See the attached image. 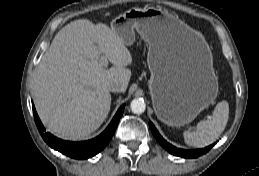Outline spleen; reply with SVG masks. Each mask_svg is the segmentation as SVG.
Segmentation results:
<instances>
[{
    "mask_svg": "<svg viewBox=\"0 0 259 176\" xmlns=\"http://www.w3.org/2000/svg\"><path fill=\"white\" fill-rule=\"evenodd\" d=\"M229 118V104L227 101L219 102L212 116L200 121L196 130L183 133L185 143L194 148H203L215 142L224 131Z\"/></svg>",
    "mask_w": 259,
    "mask_h": 176,
    "instance_id": "spleen-1",
    "label": "spleen"
}]
</instances>
